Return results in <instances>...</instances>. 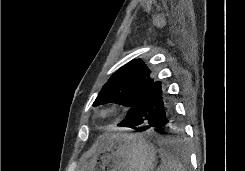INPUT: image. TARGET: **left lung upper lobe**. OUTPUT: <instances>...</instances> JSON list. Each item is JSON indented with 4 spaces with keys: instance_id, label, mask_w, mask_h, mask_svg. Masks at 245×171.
<instances>
[{
    "instance_id": "left-lung-upper-lobe-1",
    "label": "left lung upper lobe",
    "mask_w": 245,
    "mask_h": 171,
    "mask_svg": "<svg viewBox=\"0 0 245 171\" xmlns=\"http://www.w3.org/2000/svg\"><path fill=\"white\" fill-rule=\"evenodd\" d=\"M142 59L132 60L114 73L96 98L93 106L117 103L130 107L135 105L140 93L154 80Z\"/></svg>"
}]
</instances>
